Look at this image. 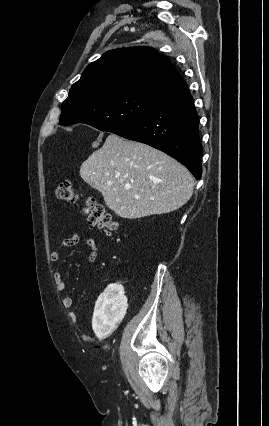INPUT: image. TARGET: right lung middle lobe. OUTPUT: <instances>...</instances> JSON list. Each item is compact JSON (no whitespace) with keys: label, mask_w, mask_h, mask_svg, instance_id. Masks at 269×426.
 <instances>
[{"label":"right lung middle lobe","mask_w":269,"mask_h":426,"mask_svg":"<svg viewBox=\"0 0 269 426\" xmlns=\"http://www.w3.org/2000/svg\"><path fill=\"white\" fill-rule=\"evenodd\" d=\"M157 96L158 92L141 89L105 92L91 98L74 93L62 104L60 123H85L113 132L144 115Z\"/></svg>","instance_id":"obj_1"}]
</instances>
